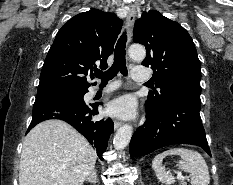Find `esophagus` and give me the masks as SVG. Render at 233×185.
<instances>
[{"label": "esophagus", "instance_id": "34e87169", "mask_svg": "<svg viewBox=\"0 0 233 185\" xmlns=\"http://www.w3.org/2000/svg\"><path fill=\"white\" fill-rule=\"evenodd\" d=\"M135 17H136V11L135 9L132 7L129 12L128 15L126 17V28H127V40L128 42L131 40V36H132V27L135 21ZM122 126V122L120 121H115L114 123V129L117 130L119 127Z\"/></svg>", "mask_w": 233, "mask_h": 185}]
</instances>
